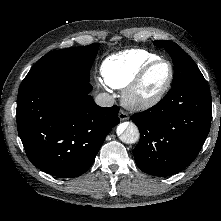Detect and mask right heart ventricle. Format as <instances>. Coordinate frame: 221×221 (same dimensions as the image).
I'll list each match as a JSON object with an SVG mask.
<instances>
[{"label": "right heart ventricle", "mask_w": 221, "mask_h": 221, "mask_svg": "<svg viewBox=\"0 0 221 221\" xmlns=\"http://www.w3.org/2000/svg\"><path fill=\"white\" fill-rule=\"evenodd\" d=\"M157 58V54L144 49H132L110 55L101 64L102 80L113 89H123L142 67Z\"/></svg>", "instance_id": "right-heart-ventricle-1"}]
</instances>
